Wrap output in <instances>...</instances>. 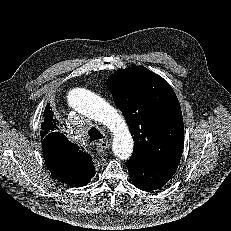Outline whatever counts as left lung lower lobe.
Returning a JSON list of instances; mask_svg holds the SVG:
<instances>
[{"label":"left lung lower lobe","mask_w":231,"mask_h":231,"mask_svg":"<svg viewBox=\"0 0 231 231\" xmlns=\"http://www.w3.org/2000/svg\"><path fill=\"white\" fill-rule=\"evenodd\" d=\"M126 166L134 185L144 191L162 188L177 170L178 165H160L148 161L130 162Z\"/></svg>","instance_id":"0a47b994"}]
</instances>
